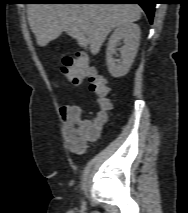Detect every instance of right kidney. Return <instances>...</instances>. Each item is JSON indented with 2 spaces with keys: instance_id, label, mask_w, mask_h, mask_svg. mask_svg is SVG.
Listing matches in <instances>:
<instances>
[{
  "instance_id": "obj_1",
  "label": "right kidney",
  "mask_w": 188,
  "mask_h": 213,
  "mask_svg": "<svg viewBox=\"0 0 188 213\" xmlns=\"http://www.w3.org/2000/svg\"><path fill=\"white\" fill-rule=\"evenodd\" d=\"M123 40L124 46L119 49L121 59L114 58L117 45ZM140 42V27L134 23L118 26L111 35L106 51V62L109 73L115 77L126 75L137 54Z\"/></svg>"
}]
</instances>
